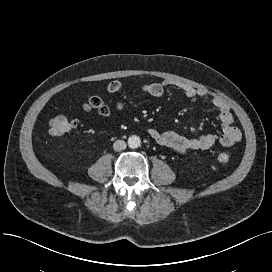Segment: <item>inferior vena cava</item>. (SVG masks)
Masks as SVG:
<instances>
[{
    "label": "inferior vena cava",
    "mask_w": 272,
    "mask_h": 272,
    "mask_svg": "<svg viewBox=\"0 0 272 272\" xmlns=\"http://www.w3.org/2000/svg\"><path fill=\"white\" fill-rule=\"evenodd\" d=\"M113 149L115 151H122L126 149V142L123 140H116L113 144Z\"/></svg>",
    "instance_id": "obj_1"
}]
</instances>
